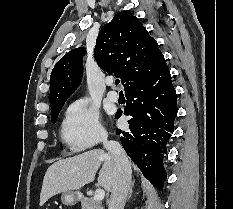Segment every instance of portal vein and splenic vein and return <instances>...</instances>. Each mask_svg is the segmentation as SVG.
Returning a JSON list of instances; mask_svg holds the SVG:
<instances>
[{"label": "portal vein and splenic vein", "mask_w": 233, "mask_h": 209, "mask_svg": "<svg viewBox=\"0 0 233 209\" xmlns=\"http://www.w3.org/2000/svg\"><path fill=\"white\" fill-rule=\"evenodd\" d=\"M105 197V191L103 189H96L94 194V200L95 201H102Z\"/></svg>", "instance_id": "portal-vein-and-splenic-vein-1"}]
</instances>
